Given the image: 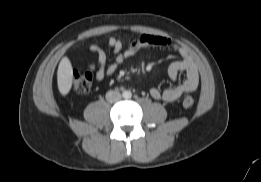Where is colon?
Returning a JSON list of instances; mask_svg holds the SVG:
<instances>
[{
	"label": "colon",
	"instance_id": "5ec220e1",
	"mask_svg": "<svg viewBox=\"0 0 261 182\" xmlns=\"http://www.w3.org/2000/svg\"><path fill=\"white\" fill-rule=\"evenodd\" d=\"M73 88L79 93H89L92 88V75L90 73H75L73 77ZM193 104V97L186 96L183 99V105L185 107H191Z\"/></svg>",
	"mask_w": 261,
	"mask_h": 182
}]
</instances>
